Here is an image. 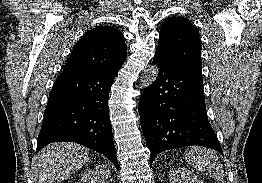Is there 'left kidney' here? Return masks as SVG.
Segmentation results:
<instances>
[{
    "label": "left kidney",
    "instance_id": "1",
    "mask_svg": "<svg viewBox=\"0 0 262 183\" xmlns=\"http://www.w3.org/2000/svg\"><path fill=\"white\" fill-rule=\"evenodd\" d=\"M169 176L170 183H205L193 172L183 167L172 169Z\"/></svg>",
    "mask_w": 262,
    "mask_h": 183
}]
</instances>
